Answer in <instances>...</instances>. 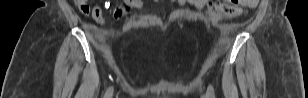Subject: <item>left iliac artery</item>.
<instances>
[{
	"mask_svg": "<svg viewBox=\"0 0 308 98\" xmlns=\"http://www.w3.org/2000/svg\"><path fill=\"white\" fill-rule=\"evenodd\" d=\"M207 96L208 98H215L214 88L211 84L208 85Z\"/></svg>",
	"mask_w": 308,
	"mask_h": 98,
	"instance_id": "1",
	"label": "left iliac artery"
}]
</instances>
